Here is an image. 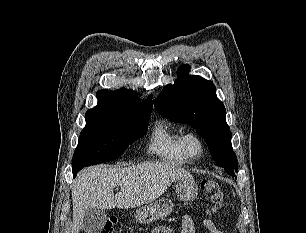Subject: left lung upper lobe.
<instances>
[{"mask_svg":"<svg viewBox=\"0 0 306 233\" xmlns=\"http://www.w3.org/2000/svg\"><path fill=\"white\" fill-rule=\"evenodd\" d=\"M189 70V65L179 67V78L163 88L154 101L155 108L167 119L194 127L206 141L216 164L235 176L238 162L232 150L225 107L217 98L214 84L197 75L188 76Z\"/></svg>","mask_w":306,"mask_h":233,"instance_id":"1","label":"left lung upper lobe"}]
</instances>
